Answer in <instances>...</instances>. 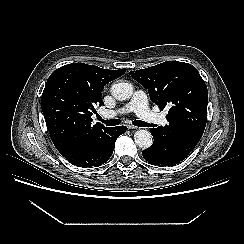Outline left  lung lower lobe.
Wrapping results in <instances>:
<instances>
[{
  "label": "left lung lower lobe",
  "mask_w": 244,
  "mask_h": 244,
  "mask_svg": "<svg viewBox=\"0 0 244 244\" xmlns=\"http://www.w3.org/2000/svg\"><path fill=\"white\" fill-rule=\"evenodd\" d=\"M151 133H154V129H151ZM142 154L145 160L158 166H173L188 156L174 155L167 149V146L158 143H153L149 148L143 150Z\"/></svg>",
  "instance_id": "obj_1"
}]
</instances>
